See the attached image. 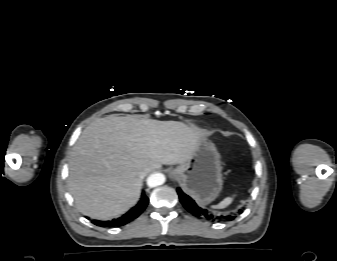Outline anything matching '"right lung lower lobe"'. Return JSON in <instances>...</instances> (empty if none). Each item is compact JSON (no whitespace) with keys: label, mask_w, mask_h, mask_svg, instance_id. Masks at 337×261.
Instances as JSON below:
<instances>
[{"label":"right lung lower lobe","mask_w":337,"mask_h":261,"mask_svg":"<svg viewBox=\"0 0 337 261\" xmlns=\"http://www.w3.org/2000/svg\"><path fill=\"white\" fill-rule=\"evenodd\" d=\"M149 202L148 197L145 195L144 192H142L140 201L131 208L127 213L119 217L118 219H113L109 221H98V220H93V223L98 226L102 227H114V226H123L128 224L129 222L133 221L136 219L146 208L147 204Z\"/></svg>","instance_id":"obj_1"}]
</instances>
